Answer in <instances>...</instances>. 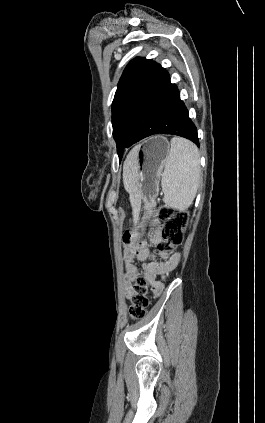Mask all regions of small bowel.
<instances>
[{"label":"small bowel","mask_w":265,"mask_h":423,"mask_svg":"<svg viewBox=\"0 0 265 423\" xmlns=\"http://www.w3.org/2000/svg\"><path fill=\"white\" fill-rule=\"evenodd\" d=\"M149 240L152 244L158 243L161 240L160 230H153L149 235ZM148 254L149 247L142 243L137 244L130 250H125L124 291L127 297L130 296L133 282L140 275L138 267L135 264V260L143 263L147 281L151 284L154 293L159 294L163 289V284L160 281H157L156 278L160 276L165 279L178 266L181 259V255L179 253H174L159 262H146Z\"/></svg>","instance_id":"small-bowel-1"}]
</instances>
